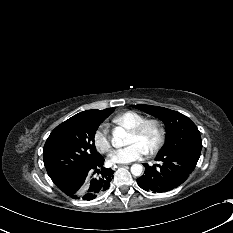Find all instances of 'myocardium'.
Listing matches in <instances>:
<instances>
[{"label": "myocardium", "instance_id": "obj_1", "mask_svg": "<svg viewBox=\"0 0 233 233\" xmlns=\"http://www.w3.org/2000/svg\"><path fill=\"white\" fill-rule=\"evenodd\" d=\"M153 126L156 129V140L152 146L147 150V154H155L163 145L166 136V130L163 122L158 118L145 119L129 131L137 136H140L149 127Z\"/></svg>", "mask_w": 233, "mask_h": 233}]
</instances>
